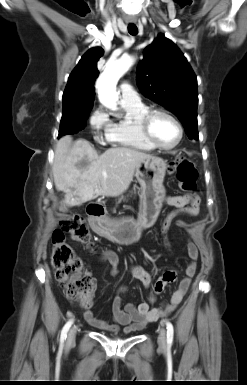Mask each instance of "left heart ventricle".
Listing matches in <instances>:
<instances>
[{
	"label": "left heart ventricle",
	"mask_w": 247,
	"mask_h": 385,
	"mask_svg": "<svg viewBox=\"0 0 247 385\" xmlns=\"http://www.w3.org/2000/svg\"><path fill=\"white\" fill-rule=\"evenodd\" d=\"M151 130L155 140L163 146L173 145L179 136L174 122L166 116L157 115L151 124Z\"/></svg>",
	"instance_id": "obj_1"
}]
</instances>
